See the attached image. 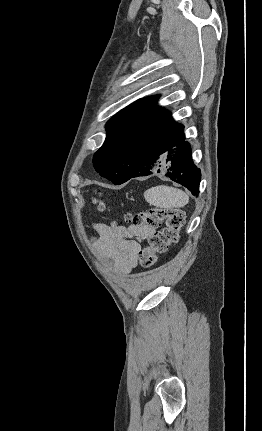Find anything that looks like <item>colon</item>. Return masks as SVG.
Returning a JSON list of instances; mask_svg holds the SVG:
<instances>
[{
  "label": "colon",
  "instance_id": "1",
  "mask_svg": "<svg viewBox=\"0 0 262 431\" xmlns=\"http://www.w3.org/2000/svg\"><path fill=\"white\" fill-rule=\"evenodd\" d=\"M93 201L101 211L109 208L106 199L98 193H95ZM126 219L133 226L158 228L163 224L161 229L152 233L149 245L141 249L138 254L140 265L149 268L156 263L158 254L165 253L172 244L177 242L184 214L179 209L152 208L147 211L128 213Z\"/></svg>",
  "mask_w": 262,
  "mask_h": 431
}]
</instances>
